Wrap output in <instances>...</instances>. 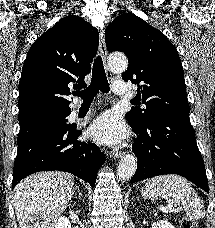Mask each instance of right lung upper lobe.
Wrapping results in <instances>:
<instances>
[{"instance_id": "1", "label": "right lung upper lobe", "mask_w": 215, "mask_h": 228, "mask_svg": "<svg viewBox=\"0 0 215 228\" xmlns=\"http://www.w3.org/2000/svg\"><path fill=\"white\" fill-rule=\"evenodd\" d=\"M98 30L70 15L42 34L31 46L19 82V123L41 116L70 113L74 89L86 87L92 57L98 50Z\"/></svg>"}]
</instances>
